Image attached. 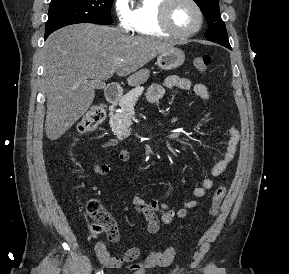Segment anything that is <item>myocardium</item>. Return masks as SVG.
<instances>
[{"label":"myocardium","instance_id":"1","mask_svg":"<svg viewBox=\"0 0 289 274\" xmlns=\"http://www.w3.org/2000/svg\"><path fill=\"white\" fill-rule=\"evenodd\" d=\"M196 10L198 15V24L191 30L188 31H180L174 28L170 20V13L172 6L177 2V0H163V3L159 9V24L161 28L166 31L168 34L179 37V38H187L195 35L200 31L204 23V13L196 0H187Z\"/></svg>","mask_w":289,"mask_h":274}]
</instances>
